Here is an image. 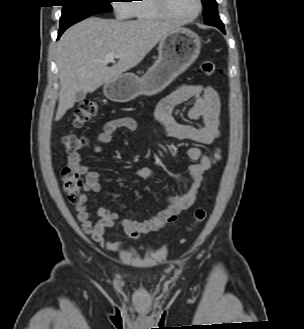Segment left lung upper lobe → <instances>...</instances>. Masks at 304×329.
<instances>
[{
	"label": "left lung upper lobe",
	"mask_w": 304,
	"mask_h": 329,
	"mask_svg": "<svg viewBox=\"0 0 304 329\" xmlns=\"http://www.w3.org/2000/svg\"><path fill=\"white\" fill-rule=\"evenodd\" d=\"M204 6V18L206 19L209 14L215 10H217V2L216 0H202Z\"/></svg>",
	"instance_id": "5c2ea615"
}]
</instances>
